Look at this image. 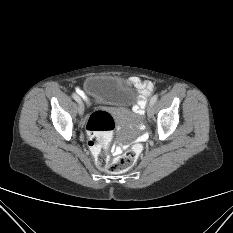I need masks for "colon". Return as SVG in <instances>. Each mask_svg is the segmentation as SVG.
Segmentation results:
<instances>
[{
    "label": "colon",
    "instance_id": "obj_1",
    "mask_svg": "<svg viewBox=\"0 0 233 233\" xmlns=\"http://www.w3.org/2000/svg\"><path fill=\"white\" fill-rule=\"evenodd\" d=\"M88 144L97 166L110 173L119 174L129 170L137 161L142 146L135 144L123 155L110 161L107 144L112 138L115 129L113 116L104 110L93 112L86 125Z\"/></svg>",
    "mask_w": 233,
    "mask_h": 233
}]
</instances>
